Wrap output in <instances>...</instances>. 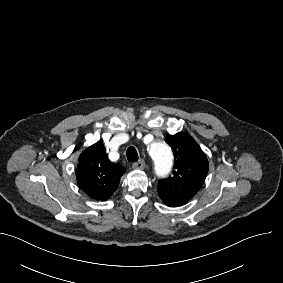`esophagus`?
<instances>
[{
    "instance_id": "obj_1",
    "label": "esophagus",
    "mask_w": 283,
    "mask_h": 283,
    "mask_svg": "<svg viewBox=\"0 0 283 283\" xmlns=\"http://www.w3.org/2000/svg\"><path fill=\"white\" fill-rule=\"evenodd\" d=\"M146 166V163L143 159H140L139 161L133 163L132 168L135 170H143Z\"/></svg>"
}]
</instances>
